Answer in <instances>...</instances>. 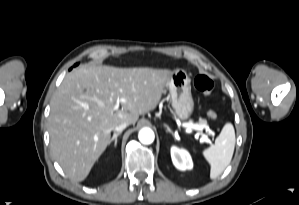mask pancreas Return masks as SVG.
Returning <instances> with one entry per match:
<instances>
[{
    "label": "pancreas",
    "instance_id": "obj_1",
    "mask_svg": "<svg viewBox=\"0 0 299 205\" xmlns=\"http://www.w3.org/2000/svg\"><path fill=\"white\" fill-rule=\"evenodd\" d=\"M199 124L203 127H205L207 125V121L205 119H200L199 120Z\"/></svg>",
    "mask_w": 299,
    "mask_h": 205
}]
</instances>
